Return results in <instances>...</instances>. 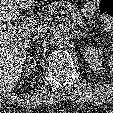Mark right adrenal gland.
I'll return each mask as SVG.
<instances>
[{
	"label": "right adrenal gland",
	"instance_id": "2a0ac1e0",
	"mask_svg": "<svg viewBox=\"0 0 113 113\" xmlns=\"http://www.w3.org/2000/svg\"><path fill=\"white\" fill-rule=\"evenodd\" d=\"M42 36H34L32 39V43H38V40L41 38Z\"/></svg>",
	"mask_w": 113,
	"mask_h": 113
}]
</instances>
